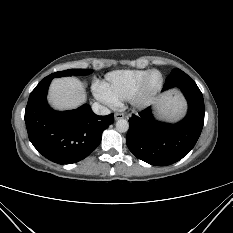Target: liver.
Masks as SVG:
<instances>
[{"instance_id":"liver-1","label":"liver","mask_w":233,"mask_h":233,"mask_svg":"<svg viewBox=\"0 0 233 233\" xmlns=\"http://www.w3.org/2000/svg\"><path fill=\"white\" fill-rule=\"evenodd\" d=\"M48 101L57 110L75 109L86 101L85 88L75 77L54 79L49 88Z\"/></svg>"}]
</instances>
